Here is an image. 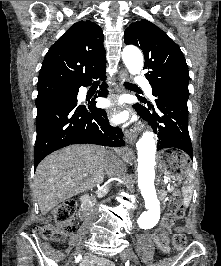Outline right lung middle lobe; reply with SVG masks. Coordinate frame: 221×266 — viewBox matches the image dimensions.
I'll list each match as a JSON object with an SVG mask.
<instances>
[{
    "label": "right lung middle lobe",
    "instance_id": "1",
    "mask_svg": "<svg viewBox=\"0 0 221 266\" xmlns=\"http://www.w3.org/2000/svg\"><path fill=\"white\" fill-rule=\"evenodd\" d=\"M38 96L36 98L37 110L41 109L47 103L66 95L74 93L77 88L62 85H46L37 87Z\"/></svg>",
    "mask_w": 221,
    "mask_h": 266
}]
</instances>
